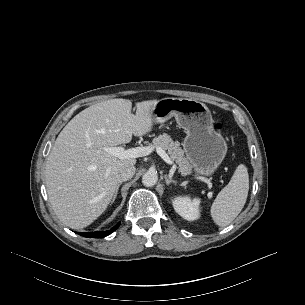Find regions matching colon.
I'll return each mask as SVG.
<instances>
[{
	"instance_id": "obj_1",
	"label": "colon",
	"mask_w": 305,
	"mask_h": 305,
	"mask_svg": "<svg viewBox=\"0 0 305 305\" xmlns=\"http://www.w3.org/2000/svg\"><path fill=\"white\" fill-rule=\"evenodd\" d=\"M216 128H217L218 130H221V129H222V125H221L220 123H217V124H216Z\"/></svg>"
}]
</instances>
